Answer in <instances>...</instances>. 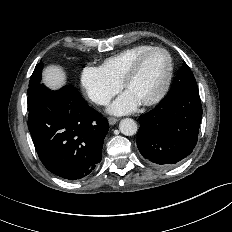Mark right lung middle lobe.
I'll use <instances>...</instances> for the list:
<instances>
[{"instance_id":"right-lung-middle-lobe-1","label":"right lung middle lobe","mask_w":232,"mask_h":232,"mask_svg":"<svg viewBox=\"0 0 232 232\" xmlns=\"http://www.w3.org/2000/svg\"><path fill=\"white\" fill-rule=\"evenodd\" d=\"M42 69H43V63L40 62L36 65L34 72L30 78L29 88L27 91L28 94L27 103L29 107L35 101L36 96L40 94L41 91L45 88L43 84H40Z\"/></svg>"}]
</instances>
